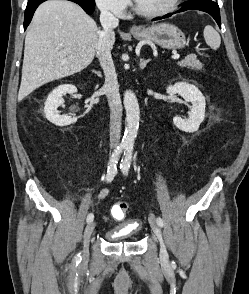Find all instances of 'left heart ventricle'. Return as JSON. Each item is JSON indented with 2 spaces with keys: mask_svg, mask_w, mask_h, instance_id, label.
I'll use <instances>...</instances> for the list:
<instances>
[{
  "mask_svg": "<svg viewBox=\"0 0 249 294\" xmlns=\"http://www.w3.org/2000/svg\"><path fill=\"white\" fill-rule=\"evenodd\" d=\"M139 6L148 11H158L169 7L174 0H136Z\"/></svg>",
  "mask_w": 249,
  "mask_h": 294,
  "instance_id": "left-heart-ventricle-1",
  "label": "left heart ventricle"
}]
</instances>
